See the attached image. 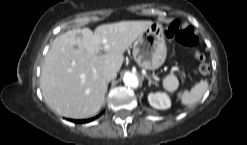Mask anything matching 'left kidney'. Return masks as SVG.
Here are the masks:
<instances>
[{
  "label": "left kidney",
  "mask_w": 247,
  "mask_h": 145,
  "mask_svg": "<svg viewBox=\"0 0 247 145\" xmlns=\"http://www.w3.org/2000/svg\"><path fill=\"white\" fill-rule=\"evenodd\" d=\"M149 104L156 109H168L171 106V100L166 93H150L148 94Z\"/></svg>",
  "instance_id": "5707ae66"
}]
</instances>
